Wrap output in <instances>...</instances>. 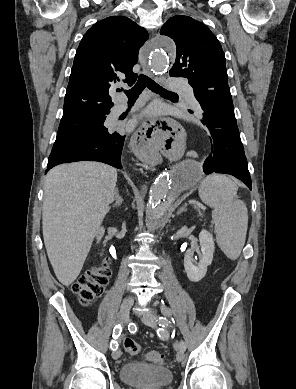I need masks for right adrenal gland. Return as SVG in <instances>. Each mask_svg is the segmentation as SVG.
Wrapping results in <instances>:
<instances>
[{
    "label": "right adrenal gland",
    "mask_w": 296,
    "mask_h": 389,
    "mask_svg": "<svg viewBox=\"0 0 296 389\" xmlns=\"http://www.w3.org/2000/svg\"><path fill=\"white\" fill-rule=\"evenodd\" d=\"M123 203V198L119 194L118 188L115 189V202L112 204V207H119Z\"/></svg>",
    "instance_id": "obj_1"
}]
</instances>
